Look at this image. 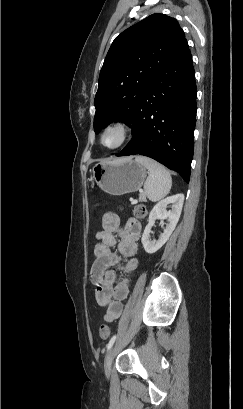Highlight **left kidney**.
I'll list each match as a JSON object with an SVG mask.
<instances>
[{
    "label": "left kidney",
    "instance_id": "left-kidney-1",
    "mask_svg": "<svg viewBox=\"0 0 243 409\" xmlns=\"http://www.w3.org/2000/svg\"><path fill=\"white\" fill-rule=\"evenodd\" d=\"M183 202L184 195L176 194L161 200L153 207L149 214L148 224L145 227L141 239L143 247L147 253L149 254L155 253L169 239L180 218ZM169 204H172V209L167 211V207ZM157 219L162 220L167 219L168 224L164 228L163 233L160 235L159 239L151 241L150 239L151 229L154 226L155 221Z\"/></svg>",
    "mask_w": 243,
    "mask_h": 409
}]
</instances>
